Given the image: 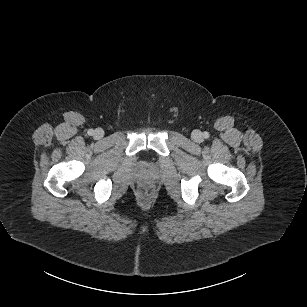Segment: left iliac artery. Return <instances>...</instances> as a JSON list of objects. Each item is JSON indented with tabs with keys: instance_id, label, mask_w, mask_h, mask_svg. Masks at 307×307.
<instances>
[{
	"instance_id": "obj_1",
	"label": "left iliac artery",
	"mask_w": 307,
	"mask_h": 307,
	"mask_svg": "<svg viewBox=\"0 0 307 307\" xmlns=\"http://www.w3.org/2000/svg\"><path fill=\"white\" fill-rule=\"evenodd\" d=\"M203 137L206 138V139L209 138V133L208 132H204L203 133Z\"/></svg>"
}]
</instances>
